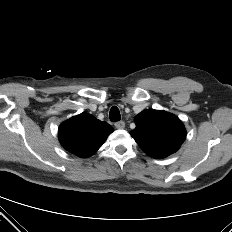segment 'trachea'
I'll use <instances>...</instances> for the list:
<instances>
[{
    "label": "trachea",
    "mask_w": 232,
    "mask_h": 232,
    "mask_svg": "<svg viewBox=\"0 0 232 232\" xmlns=\"http://www.w3.org/2000/svg\"><path fill=\"white\" fill-rule=\"evenodd\" d=\"M110 120L117 122L121 119L119 109L116 106H113L109 113Z\"/></svg>",
    "instance_id": "1"
}]
</instances>
